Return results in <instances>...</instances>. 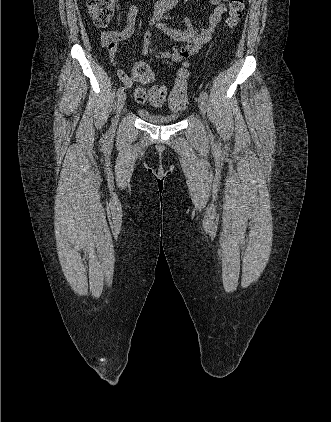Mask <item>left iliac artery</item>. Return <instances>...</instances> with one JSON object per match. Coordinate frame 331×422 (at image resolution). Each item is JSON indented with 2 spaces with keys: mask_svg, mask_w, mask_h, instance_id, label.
<instances>
[{
  "mask_svg": "<svg viewBox=\"0 0 331 422\" xmlns=\"http://www.w3.org/2000/svg\"><path fill=\"white\" fill-rule=\"evenodd\" d=\"M201 96L204 97L205 100H207V98H208V95L205 91L201 92Z\"/></svg>",
  "mask_w": 331,
  "mask_h": 422,
  "instance_id": "1",
  "label": "left iliac artery"
}]
</instances>
